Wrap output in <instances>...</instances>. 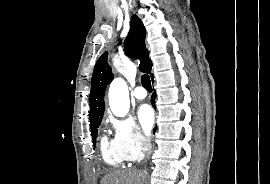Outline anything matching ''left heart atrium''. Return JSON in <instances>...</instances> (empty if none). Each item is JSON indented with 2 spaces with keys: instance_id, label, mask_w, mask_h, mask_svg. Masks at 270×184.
I'll return each mask as SVG.
<instances>
[{
  "instance_id": "obj_1",
  "label": "left heart atrium",
  "mask_w": 270,
  "mask_h": 184,
  "mask_svg": "<svg viewBox=\"0 0 270 184\" xmlns=\"http://www.w3.org/2000/svg\"><path fill=\"white\" fill-rule=\"evenodd\" d=\"M138 120L142 128L148 132L154 122V113L149 105H142L138 110Z\"/></svg>"
}]
</instances>
